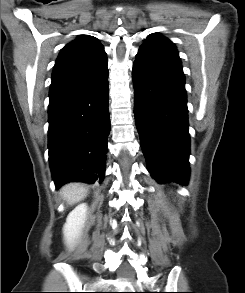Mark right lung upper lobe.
Wrapping results in <instances>:
<instances>
[{"mask_svg":"<svg viewBox=\"0 0 245 293\" xmlns=\"http://www.w3.org/2000/svg\"><path fill=\"white\" fill-rule=\"evenodd\" d=\"M107 56L94 37L80 35L60 52L52 73L49 97L62 94L107 70Z\"/></svg>","mask_w":245,"mask_h":293,"instance_id":"obj_1","label":"right lung upper lobe"}]
</instances>
